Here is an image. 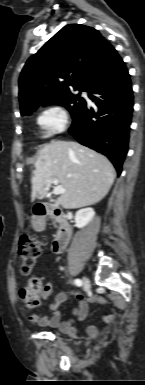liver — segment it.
<instances>
[{"label": "liver", "instance_id": "6515ba94", "mask_svg": "<svg viewBox=\"0 0 145 385\" xmlns=\"http://www.w3.org/2000/svg\"><path fill=\"white\" fill-rule=\"evenodd\" d=\"M115 177L113 165L102 154L77 142L53 141L38 151L31 198L42 199L56 178L65 189L58 198L64 209L94 205L108 194Z\"/></svg>", "mask_w": 145, "mask_h": 385}]
</instances>
